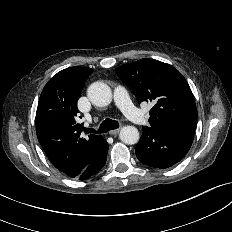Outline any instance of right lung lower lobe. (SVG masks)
Wrapping results in <instances>:
<instances>
[{
    "mask_svg": "<svg viewBox=\"0 0 232 232\" xmlns=\"http://www.w3.org/2000/svg\"><path fill=\"white\" fill-rule=\"evenodd\" d=\"M107 152L108 143L105 141L98 155L89 165L86 166V168L77 176V178L80 180H85L100 171L106 163Z\"/></svg>",
    "mask_w": 232,
    "mask_h": 232,
    "instance_id": "98d812e1",
    "label": "right lung lower lobe"
}]
</instances>
